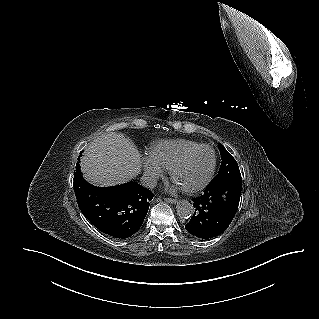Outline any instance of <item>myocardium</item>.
I'll return each mask as SVG.
<instances>
[{
  "instance_id": "myocardium-1",
  "label": "myocardium",
  "mask_w": 319,
  "mask_h": 319,
  "mask_svg": "<svg viewBox=\"0 0 319 319\" xmlns=\"http://www.w3.org/2000/svg\"><path fill=\"white\" fill-rule=\"evenodd\" d=\"M202 148H207L209 149L211 152H212V155H213V161H212V165H211V168L207 174V176L205 177V179L200 183L198 184L197 186L193 187V188H190V189H182L186 194H195V193H198L202 190H204L208 185L209 183L211 182L213 176H214V173H215V170H216V166H217V154H216V151L215 149L208 145V144H199L187 151H185L174 163L173 165L171 166L170 168V177L171 179L174 181V177H175V174L176 172L178 171V169L195 153L197 152L198 150L202 149ZM175 182V181H174Z\"/></svg>"
}]
</instances>
